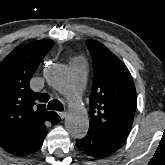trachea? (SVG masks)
<instances>
[{
  "instance_id": "trachea-1",
  "label": "trachea",
  "mask_w": 165,
  "mask_h": 165,
  "mask_svg": "<svg viewBox=\"0 0 165 165\" xmlns=\"http://www.w3.org/2000/svg\"><path fill=\"white\" fill-rule=\"evenodd\" d=\"M47 109L48 110L63 111L64 107H63V104L59 100L54 99V100L49 101Z\"/></svg>"
}]
</instances>
